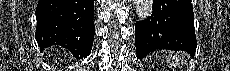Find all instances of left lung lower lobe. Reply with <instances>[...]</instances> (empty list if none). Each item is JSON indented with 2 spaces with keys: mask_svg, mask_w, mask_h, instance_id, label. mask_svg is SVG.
<instances>
[{
  "mask_svg": "<svg viewBox=\"0 0 230 71\" xmlns=\"http://www.w3.org/2000/svg\"><path fill=\"white\" fill-rule=\"evenodd\" d=\"M152 14L135 24L136 53L142 59L160 50L196 52L191 0H153Z\"/></svg>",
  "mask_w": 230,
  "mask_h": 71,
  "instance_id": "0a47b994",
  "label": "left lung lower lobe"
}]
</instances>
